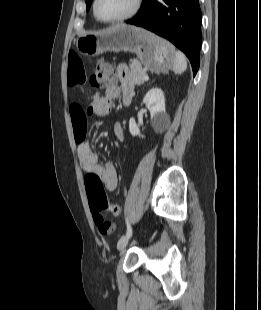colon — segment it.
Masks as SVG:
<instances>
[{
    "label": "colon",
    "mask_w": 261,
    "mask_h": 310,
    "mask_svg": "<svg viewBox=\"0 0 261 310\" xmlns=\"http://www.w3.org/2000/svg\"><path fill=\"white\" fill-rule=\"evenodd\" d=\"M90 83L96 89H103L114 84L115 76L110 63L104 60L98 61L90 77ZM85 183L94 223L101 234L109 235L114 231V225L105 219L102 211L109 210L113 215L118 216L120 207L117 204L109 203L98 175L88 173L85 176Z\"/></svg>",
    "instance_id": "5ec220e1"
}]
</instances>
